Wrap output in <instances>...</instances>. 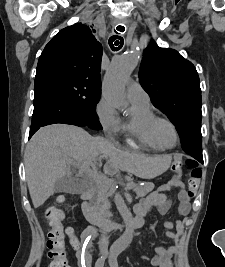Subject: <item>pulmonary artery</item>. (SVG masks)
I'll list each match as a JSON object with an SVG mask.
<instances>
[{
	"mask_svg": "<svg viewBox=\"0 0 225 267\" xmlns=\"http://www.w3.org/2000/svg\"><path fill=\"white\" fill-rule=\"evenodd\" d=\"M127 95L130 100H149V96L146 91L136 81L129 84L127 88Z\"/></svg>",
	"mask_w": 225,
	"mask_h": 267,
	"instance_id": "pulmonary-artery-1",
	"label": "pulmonary artery"
}]
</instances>
